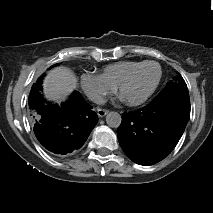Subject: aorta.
I'll list each match as a JSON object with an SVG mask.
<instances>
[{
  "mask_svg": "<svg viewBox=\"0 0 213 213\" xmlns=\"http://www.w3.org/2000/svg\"><path fill=\"white\" fill-rule=\"evenodd\" d=\"M122 122V117L118 112L110 111L106 115V123L111 128H118Z\"/></svg>",
  "mask_w": 213,
  "mask_h": 213,
  "instance_id": "aorta-1",
  "label": "aorta"
}]
</instances>
